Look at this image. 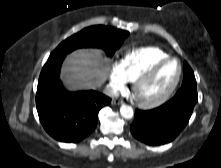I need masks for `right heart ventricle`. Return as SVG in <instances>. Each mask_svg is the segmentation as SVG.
I'll use <instances>...</instances> for the list:
<instances>
[{
    "label": "right heart ventricle",
    "instance_id": "obj_1",
    "mask_svg": "<svg viewBox=\"0 0 221 168\" xmlns=\"http://www.w3.org/2000/svg\"><path fill=\"white\" fill-rule=\"evenodd\" d=\"M169 57L158 47H143L127 52L120 60L118 68L126 81L134 82L154 63Z\"/></svg>",
    "mask_w": 221,
    "mask_h": 168
}]
</instances>
